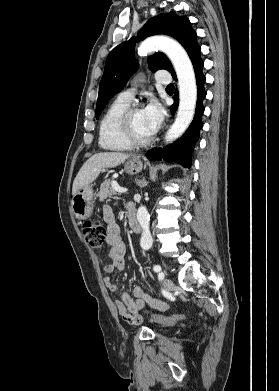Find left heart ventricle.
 Returning a JSON list of instances; mask_svg holds the SVG:
<instances>
[{"mask_svg":"<svg viewBox=\"0 0 279 391\" xmlns=\"http://www.w3.org/2000/svg\"><path fill=\"white\" fill-rule=\"evenodd\" d=\"M132 122L134 131L138 137L146 138L153 133L144 115L143 109H140L133 114Z\"/></svg>","mask_w":279,"mask_h":391,"instance_id":"b2bd125f","label":"left heart ventricle"}]
</instances>
